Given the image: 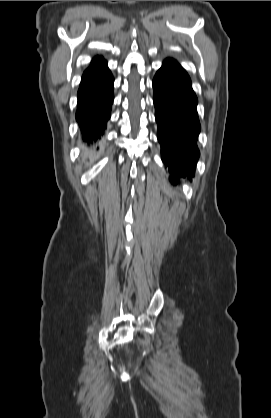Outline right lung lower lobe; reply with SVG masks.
I'll return each mask as SVG.
<instances>
[{
  "instance_id": "right-lung-lower-lobe-1",
  "label": "right lung lower lobe",
  "mask_w": 271,
  "mask_h": 418,
  "mask_svg": "<svg viewBox=\"0 0 271 418\" xmlns=\"http://www.w3.org/2000/svg\"><path fill=\"white\" fill-rule=\"evenodd\" d=\"M114 79L103 60L90 66L83 74L77 93L76 120L82 139L90 144L101 137L110 118Z\"/></svg>"
}]
</instances>
